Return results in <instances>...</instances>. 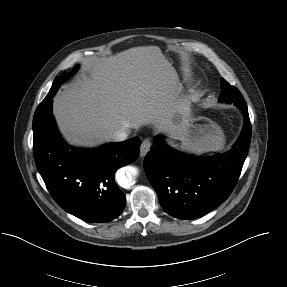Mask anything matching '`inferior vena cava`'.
<instances>
[{
    "label": "inferior vena cava",
    "mask_w": 287,
    "mask_h": 287,
    "mask_svg": "<svg viewBox=\"0 0 287 287\" xmlns=\"http://www.w3.org/2000/svg\"><path fill=\"white\" fill-rule=\"evenodd\" d=\"M128 130H119L112 134L111 139L112 141L119 142L123 141L128 138Z\"/></svg>",
    "instance_id": "602c4592"
}]
</instances>
